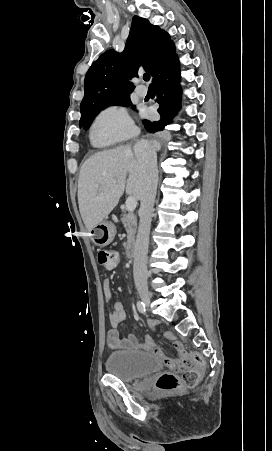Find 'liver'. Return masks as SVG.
Masks as SVG:
<instances>
[{
    "mask_svg": "<svg viewBox=\"0 0 272 451\" xmlns=\"http://www.w3.org/2000/svg\"><path fill=\"white\" fill-rule=\"evenodd\" d=\"M152 144L160 150L159 142L154 140ZM143 188V170L131 146H119L90 156L78 180L79 210L88 231L114 210L124 192L141 200Z\"/></svg>",
    "mask_w": 272,
    "mask_h": 451,
    "instance_id": "6515ba94",
    "label": "liver"
}]
</instances>
